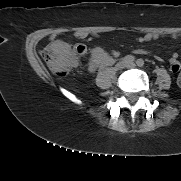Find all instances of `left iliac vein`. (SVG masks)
Instances as JSON below:
<instances>
[{
	"label": "left iliac vein",
	"instance_id": "left-iliac-vein-1",
	"mask_svg": "<svg viewBox=\"0 0 181 181\" xmlns=\"http://www.w3.org/2000/svg\"><path fill=\"white\" fill-rule=\"evenodd\" d=\"M126 67H129V68H134L135 67V64L134 63H129V64H127V66Z\"/></svg>",
	"mask_w": 181,
	"mask_h": 181
}]
</instances>
